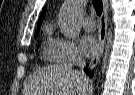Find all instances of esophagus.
<instances>
[{
    "mask_svg": "<svg viewBox=\"0 0 135 95\" xmlns=\"http://www.w3.org/2000/svg\"><path fill=\"white\" fill-rule=\"evenodd\" d=\"M108 0H103V12L100 17V26H99V49L97 53L92 57L90 61V68L93 69L100 61L107 38V18H108Z\"/></svg>",
    "mask_w": 135,
    "mask_h": 95,
    "instance_id": "obj_1",
    "label": "esophagus"
}]
</instances>
